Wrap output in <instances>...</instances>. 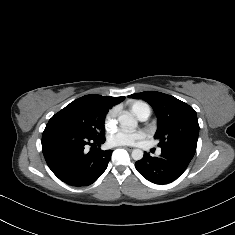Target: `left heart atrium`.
I'll use <instances>...</instances> for the list:
<instances>
[{
    "label": "left heart atrium",
    "mask_w": 235,
    "mask_h": 235,
    "mask_svg": "<svg viewBox=\"0 0 235 235\" xmlns=\"http://www.w3.org/2000/svg\"><path fill=\"white\" fill-rule=\"evenodd\" d=\"M143 137L144 133L140 130L130 131L119 129L108 135V143L112 146L131 145Z\"/></svg>",
    "instance_id": "39dd6f15"
}]
</instances>
